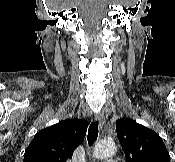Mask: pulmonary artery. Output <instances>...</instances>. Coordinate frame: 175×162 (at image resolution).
<instances>
[{
    "label": "pulmonary artery",
    "mask_w": 175,
    "mask_h": 162,
    "mask_svg": "<svg viewBox=\"0 0 175 162\" xmlns=\"http://www.w3.org/2000/svg\"><path fill=\"white\" fill-rule=\"evenodd\" d=\"M104 162H116V160H114V159H106V160H104Z\"/></svg>",
    "instance_id": "pulmonary-artery-1"
}]
</instances>
